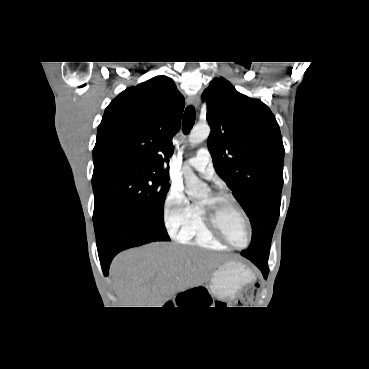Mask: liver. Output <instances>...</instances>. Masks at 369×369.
<instances>
[{"label":"liver","instance_id":"obj_1","mask_svg":"<svg viewBox=\"0 0 369 369\" xmlns=\"http://www.w3.org/2000/svg\"><path fill=\"white\" fill-rule=\"evenodd\" d=\"M222 260L205 250L157 242L120 253L110 276L124 307H163L177 292L202 284Z\"/></svg>","mask_w":369,"mask_h":369}]
</instances>
